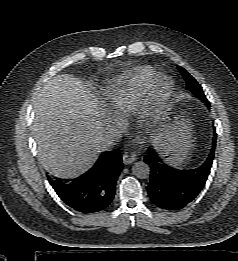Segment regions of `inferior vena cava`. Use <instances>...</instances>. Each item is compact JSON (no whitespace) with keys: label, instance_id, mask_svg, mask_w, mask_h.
Listing matches in <instances>:
<instances>
[{"label":"inferior vena cava","instance_id":"602c4592","mask_svg":"<svg viewBox=\"0 0 238 261\" xmlns=\"http://www.w3.org/2000/svg\"><path fill=\"white\" fill-rule=\"evenodd\" d=\"M119 138H121V132L115 126H107L102 140L103 151L109 150Z\"/></svg>","mask_w":238,"mask_h":261}]
</instances>
